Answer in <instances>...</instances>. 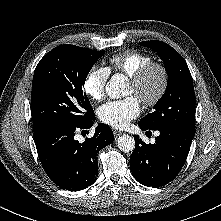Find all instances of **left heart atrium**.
Masks as SVG:
<instances>
[{
    "instance_id": "obj_1",
    "label": "left heart atrium",
    "mask_w": 221,
    "mask_h": 221,
    "mask_svg": "<svg viewBox=\"0 0 221 221\" xmlns=\"http://www.w3.org/2000/svg\"><path fill=\"white\" fill-rule=\"evenodd\" d=\"M141 113L138 99L129 96L122 100H114L105 103L98 108L99 119L114 128L122 129L137 118Z\"/></svg>"
}]
</instances>
